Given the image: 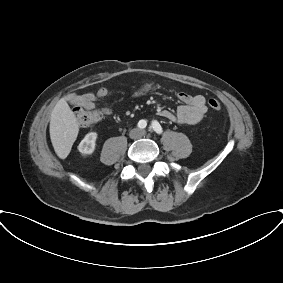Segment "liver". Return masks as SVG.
<instances>
[{
    "mask_svg": "<svg viewBox=\"0 0 283 283\" xmlns=\"http://www.w3.org/2000/svg\"><path fill=\"white\" fill-rule=\"evenodd\" d=\"M50 138L57 156L65 159L75 142L79 125L65 99H60L50 116Z\"/></svg>",
    "mask_w": 283,
    "mask_h": 283,
    "instance_id": "6515ba94",
    "label": "liver"
}]
</instances>
